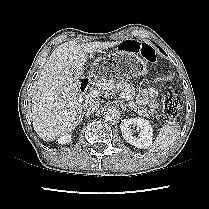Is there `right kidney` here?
I'll return each mask as SVG.
<instances>
[{
  "label": "right kidney",
  "mask_w": 209,
  "mask_h": 209,
  "mask_svg": "<svg viewBox=\"0 0 209 209\" xmlns=\"http://www.w3.org/2000/svg\"><path fill=\"white\" fill-rule=\"evenodd\" d=\"M71 141V135L70 134H63L58 138L59 144H66Z\"/></svg>",
  "instance_id": "1"
}]
</instances>
